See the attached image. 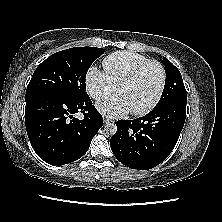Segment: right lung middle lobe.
<instances>
[{"mask_svg": "<svg viewBox=\"0 0 222 222\" xmlns=\"http://www.w3.org/2000/svg\"><path fill=\"white\" fill-rule=\"evenodd\" d=\"M103 53L102 48L77 47L51 55L36 68L28 84L25 100L44 93L67 97L87 96V71Z\"/></svg>", "mask_w": 222, "mask_h": 222, "instance_id": "obj_1", "label": "right lung middle lobe"}]
</instances>
